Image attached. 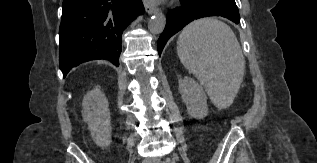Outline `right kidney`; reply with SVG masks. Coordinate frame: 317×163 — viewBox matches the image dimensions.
<instances>
[{"instance_id":"obj_1","label":"right kidney","mask_w":317,"mask_h":163,"mask_svg":"<svg viewBox=\"0 0 317 163\" xmlns=\"http://www.w3.org/2000/svg\"><path fill=\"white\" fill-rule=\"evenodd\" d=\"M82 117L88 124L93 141L99 147H106L111 142V120L108 100L98 88L89 91L83 98Z\"/></svg>"}]
</instances>
